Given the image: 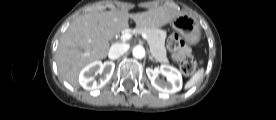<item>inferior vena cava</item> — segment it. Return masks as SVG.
I'll use <instances>...</instances> for the list:
<instances>
[{
    "label": "inferior vena cava",
    "instance_id": "obj_1",
    "mask_svg": "<svg viewBox=\"0 0 276 120\" xmlns=\"http://www.w3.org/2000/svg\"><path fill=\"white\" fill-rule=\"evenodd\" d=\"M128 49H129L128 44L115 43L110 47L108 56L111 60H115L119 58L121 55H123L124 53H126Z\"/></svg>",
    "mask_w": 276,
    "mask_h": 120
}]
</instances>
